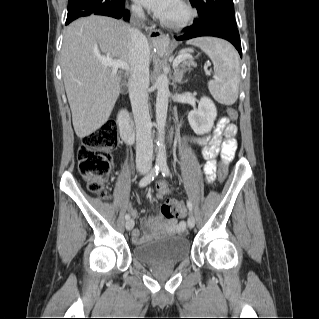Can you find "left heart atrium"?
I'll list each match as a JSON object with an SVG mask.
<instances>
[{
  "label": "left heart atrium",
  "instance_id": "1",
  "mask_svg": "<svg viewBox=\"0 0 319 319\" xmlns=\"http://www.w3.org/2000/svg\"><path fill=\"white\" fill-rule=\"evenodd\" d=\"M144 7L152 10L158 16H163L173 0H135Z\"/></svg>",
  "mask_w": 319,
  "mask_h": 319
}]
</instances>
